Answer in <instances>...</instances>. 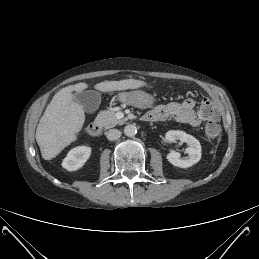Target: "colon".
<instances>
[{
	"label": "colon",
	"instance_id": "colon-1",
	"mask_svg": "<svg viewBox=\"0 0 259 259\" xmlns=\"http://www.w3.org/2000/svg\"><path fill=\"white\" fill-rule=\"evenodd\" d=\"M200 110L209 117L208 122L204 127L205 136L208 139H215L219 136L221 128L217 122V112L210 99L205 98L202 101Z\"/></svg>",
	"mask_w": 259,
	"mask_h": 259
}]
</instances>
